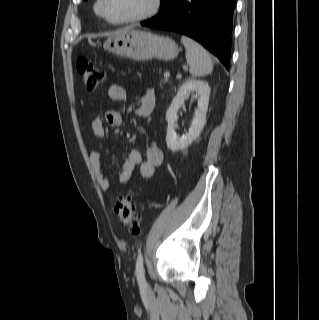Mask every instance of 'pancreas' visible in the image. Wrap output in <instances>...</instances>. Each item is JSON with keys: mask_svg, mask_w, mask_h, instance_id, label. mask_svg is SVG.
Returning <instances> with one entry per match:
<instances>
[{"mask_svg": "<svg viewBox=\"0 0 319 320\" xmlns=\"http://www.w3.org/2000/svg\"><path fill=\"white\" fill-rule=\"evenodd\" d=\"M168 82V78H166L165 76L161 79V84H166Z\"/></svg>", "mask_w": 319, "mask_h": 320, "instance_id": "obj_1", "label": "pancreas"}]
</instances>
